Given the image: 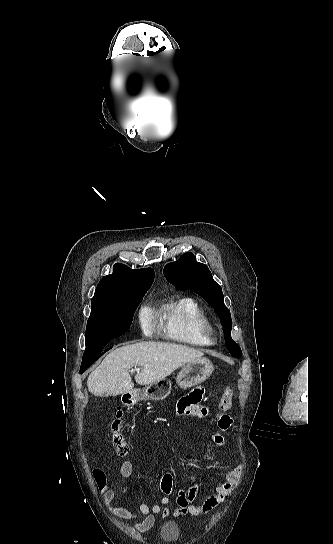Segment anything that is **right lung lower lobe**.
I'll return each instance as SVG.
<instances>
[{
  "instance_id": "right-lung-lower-lobe-1",
  "label": "right lung lower lobe",
  "mask_w": 333,
  "mask_h": 544,
  "mask_svg": "<svg viewBox=\"0 0 333 544\" xmlns=\"http://www.w3.org/2000/svg\"><path fill=\"white\" fill-rule=\"evenodd\" d=\"M95 362V361H94ZM93 363V362H92ZM92 363L85 365L84 367H81L80 374H82Z\"/></svg>"
}]
</instances>
